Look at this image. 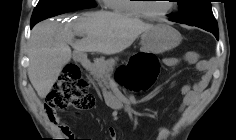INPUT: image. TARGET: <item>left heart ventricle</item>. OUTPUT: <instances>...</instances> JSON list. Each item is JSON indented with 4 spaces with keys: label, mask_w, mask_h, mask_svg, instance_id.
Segmentation results:
<instances>
[{
    "label": "left heart ventricle",
    "mask_w": 236,
    "mask_h": 140,
    "mask_svg": "<svg viewBox=\"0 0 236 140\" xmlns=\"http://www.w3.org/2000/svg\"><path fill=\"white\" fill-rule=\"evenodd\" d=\"M146 4L148 10L152 13H161L169 9L170 2L164 0H149Z\"/></svg>",
    "instance_id": "b2bd125f"
}]
</instances>
